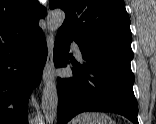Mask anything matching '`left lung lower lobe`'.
<instances>
[{"label": "left lung lower lobe", "mask_w": 156, "mask_h": 124, "mask_svg": "<svg viewBox=\"0 0 156 124\" xmlns=\"http://www.w3.org/2000/svg\"><path fill=\"white\" fill-rule=\"evenodd\" d=\"M73 39L58 32L54 46L56 67L69 64L67 55ZM84 63L73 64L72 78H58V124H66L81 112H113L134 124L138 105L133 92L131 66L108 56H86Z\"/></svg>", "instance_id": "1"}]
</instances>
